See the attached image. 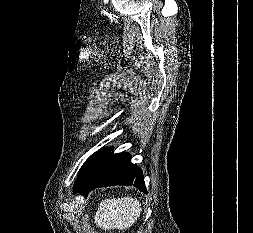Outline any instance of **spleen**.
<instances>
[{
  "label": "spleen",
  "instance_id": "obj_1",
  "mask_svg": "<svg viewBox=\"0 0 253 233\" xmlns=\"http://www.w3.org/2000/svg\"><path fill=\"white\" fill-rule=\"evenodd\" d=\"M139 200L132 197L109 198L99 204L95 221L103 230H125L130 228L141 213Z\"/></svg>",
  "mask_w": 253,
  "mask_h": 233
}]
</instances>
